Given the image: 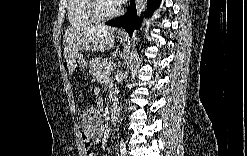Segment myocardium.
<instances>
[{
  "instance_id": "obj_1",
  "label": "myocardium",
  "mask_w": 247,
  "mask_h": 156,
  "mask_svg": "<svg viewBox=\"0 0 247 156\" xmlns=\"http://www.w3.org/2000/svg\"><path fill=\"white\" fill-rule=\"evenodd\" d=\"M99 2L100 1L98 0H91V1H88L87 3L88 13L95 20V22H105V21L112 20L118 17L122 12L121 6L116 5L114 10L111 13L106 14V15L101 14L99 12Z\"/></svg>"
}]
</instances>
